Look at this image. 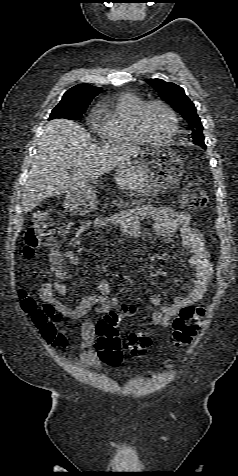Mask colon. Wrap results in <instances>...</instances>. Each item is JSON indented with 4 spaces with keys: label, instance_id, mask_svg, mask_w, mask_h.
<instances>
[{
    "label": "colon",
    "instance_id": "1",
    "mask_svg": "<svg viewBox=\"0 0 238 476\" xmlns=\"http://www.w3.org/2000/svg\"><path fill=\"white\" fill-rule=\"evenodd\" d=\"M180 202L186 209L199 211L206 208L209 199L204 190L194 182L184 184ZM56 229L55 222L46 212H38L33 217L24 239L23 253L31 258L42 247L46 246ZM23 309L32 315L33 322L42 337L51 345H66L64 332L58 326L59 316L46 304L37 306L31 299H25ZM133 306L124 305L120 310H111L105 314L97 326L98 338L96 349L100 360L109 366H118L122 361L123 351L131 355H143L151 345V338L145 331L129 334L121 342L117 330L123 315H132ZM205 310L199 306H188L181 309L173 320V341L176 347L188 346L204 325Z\"/></svg>",
    "mask_w": 238,
    "mask_h": 476
}]
</instances>
